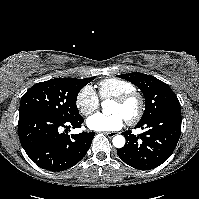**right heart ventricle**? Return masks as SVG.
<instances>
[{
    "label": "right heart ventricle",
    "mask_w": 199,
    "mask_h": 199,
    "mask_svg": "<svg viewBox=\"0 0 199 199\" xmlns=\"http://www.w3.org/2000/svg\"><path fill=\"white\" fill-rule=\"evenodd\" d=\"M135 89L133 83L118 78H108L98 84L99 97L103 100L115 98Z\"/></svg>",
    "instance_id": "1"
}]
</instances>
